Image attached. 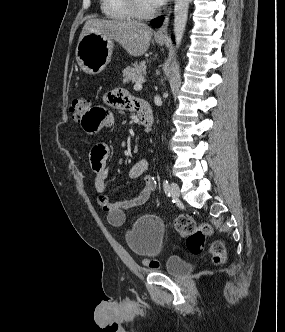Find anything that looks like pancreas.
Listing matches in <instances>:
<instances>
[{
  "label": "pancreas",
  "instance_id": "cf45deb5",
  "mask_svg": "<svg viewBox=\"0 0 285 332\" xmlns=\"http://www.w3.org/2000/svg\"><path fill=\"white\" fill-rule=\"evenodd\" d=\"M123 83L138 82L146 74L145 62H140L133 64L132 66L126 67L123 71Z\"/></svg>",
  "mask_w": 285,
  "mask_h": 332
}]
</instances>
